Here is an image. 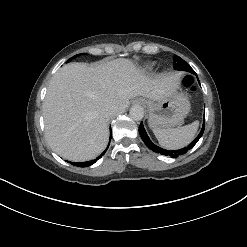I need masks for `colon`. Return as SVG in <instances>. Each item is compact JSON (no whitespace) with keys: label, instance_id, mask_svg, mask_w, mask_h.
Returning a JSON list of instances; mask_svg holds the SVG:
<instances>
[{"label":"colon","instance_id":"obj_1","mask_svg":"<svg viewBox=\"0 0 247 247\" xmlns=\"http://www.w3.org/2000/svg\"><path fill=\"white\" fill-rule=\"evenodd\" d=\"M183 85L188 88L191 92L196 91V86L194 84V80L190 76H186L183 78Z\"/></svg>","mask_w":247,"mask_h":247}]
</instances>
